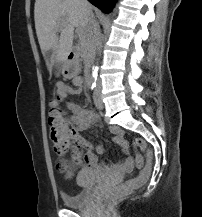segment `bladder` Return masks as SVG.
<instances>
[{"label": "bladder", "mask_w": 202, "mask_h": 217, "mask_svg": "<svg viewBox=\"0 0 202 217\" xmlns=\"http://www.w3.org/2000/svg\"><path fill=\"white\" fill-rule=\"evenodd\" d=\"M99 172L83 168L78 172L76 182L80 190L75 195H62L61 199L66 207H83L92 196V188L98 182Z\"/></svg>", "instance_id": "bladder-1"}]
</instances>
